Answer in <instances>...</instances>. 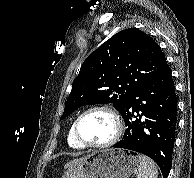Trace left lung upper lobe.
<instances>
[{"label":"left lung upper lobe","instance_id":"1","mask_svg":"<svg viewBox=\"0 0 194 178\" xmlns=\"http://www.w3.org/2000/svg\"><path fill=\"white\" fill-rule=\"evenodd\" d=\"M167 64L159 45L129 28L112 36L83 62L61 120L87 104L112 103L120 112L128 96Z\"/></svg>","mask_w":194,"mask_h":178}]
</instances>
